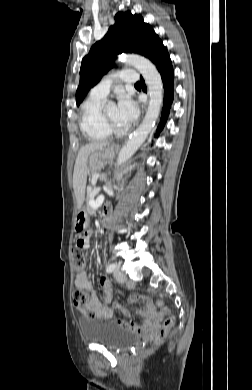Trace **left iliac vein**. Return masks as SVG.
Returning <instances> with one entry per match:
<instances>
[{"instance_id": "1", "label": "left iliac vein", "mask_w": 252, "mask_h": 390, "mask_svg": "<svg viewBox=\"0 0 252 390\" xmlns=\"http://www.w3.org/2000/svg\"><path fill=\"white\" fill-rule=\"evenodd\" d=\"M114 277L120 283L125 282L127 279L126 275L123 273V271L120 269V267H116L114 269Z\"/></svg>"}]
</instances>
